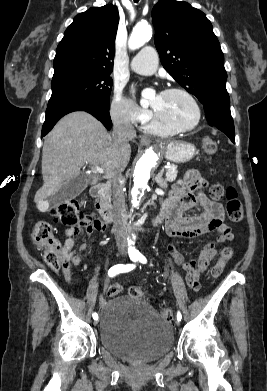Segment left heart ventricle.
<instances>
[{"instance_id":"b2bd125f","label":"left heart ventricle","mask_w":267,"mask_h":391,"mask_svg":"<svg viewBox=\"0 0 267 391\" xmlns=\"http://www.w3.org/2000/svg\"><path fill=\"white\" fill-rule=\"evenodd\" d=\"M151 105L159 118L170 125L187 127L195 120V109L182 94L161 93L152 99Z\"/></svg>"}]
</instances>
